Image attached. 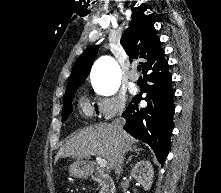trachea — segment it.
Wrapping results in <instances>:
<instances>
[{
	"label": "trachea",
	"instance_id": "trachea-1",
	"mask_svg": "<svg viewBox=\"0 0 221 193\" xmlns=\"http://www.w3.org/2000/svg\"><path fill=\"white\" fill-rule=\"evenodd\" d=\"M137 70L141 71V66L140 65L137 66Z\"/></svg>",
	"mask_w": 221,
	"mask_h": 193
}]
</instances>
